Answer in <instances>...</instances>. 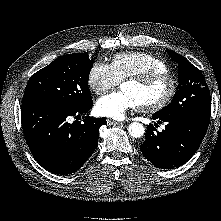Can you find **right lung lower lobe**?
Returning a JSON list of instances; mask_svg holds the SVG:
<instances>
[{"label": "right lung lower lobe", "instance_id": "98d812e1", "mask_svg": "<svg viewBox=\"0 0 221 221\" xmlns=\"http://www.w3.org/2000/svg\"><path fill=\"white\" fill-rule=\"evenodd\" d=\"M42 101H28L21 105V121L26 142L44 169L60 175L77 171L96 149L99 128L105 118L86 117L68 122V117L88 112Z\"/></svg>", "mask_w": 221, "mask_h": 221}]
</instances>
